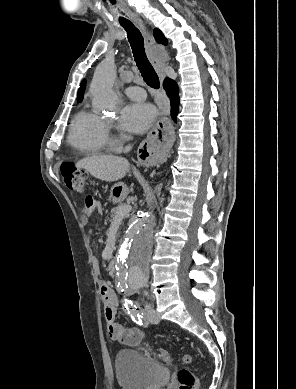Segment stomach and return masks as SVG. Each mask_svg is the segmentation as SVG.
I'll list each match as a JSON object with an SVG mask.
<instances>
[{"instance_id": "obj_1", "label": "stomach", "mask_w": 296, "mask_h": 389, "mask_svg": "<svg viewBox=\"0 0 296 389\" xmlns=\"http://www.w3.org/2000/svg\"><path fill=\"white\" fill-rule=\"evenodd\" d=\"M127 193L128 189L126 185L123 183H117L112 187L110 196L113 201L117 202L122 200L127 195Z\"/></svg>"}]
</instances>
